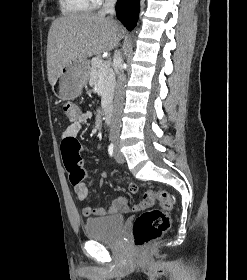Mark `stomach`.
Listing matches in <instances>:
<instances>
[{"label":"stomach","mask_w":247,"mask_h":280,"mask_svg":"<svg viewBox=\"0 0 247 280\" xmlns=\"http://www.w3.org/2000/svg\"><path fill=\"white\" fill-rule=\"evenodd\" d=\"M90 74V62L87 59L71 61L61 69L52 85L53 92L63 101L77 98L87 84Z\"/></svg>","instance_id":"stomach-1"}]
</instances>
